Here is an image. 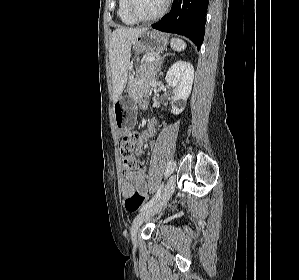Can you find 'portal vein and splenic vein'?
<instances>
[{
    "instance_id": "obj_1",
    "label": "portal vein and splenic vein",
    "mask_w": 299,
    "mask_h": 280,
    "mask_svg": "<svg viewBox=\"0 0 299 280\" xmlns=\"http://www.w3.org/2000/svg\"><path fill=\"white\" fill-rule=\"evenodd\" d=\"M146 61H150V62H153V61H156V58L155 57H148L147 59H146Z\"/></svg>"
}]
</instances>
